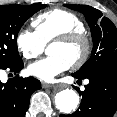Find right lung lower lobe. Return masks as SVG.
Here are the masks:
<instances>
[{"label":"right lung lower lobe","mask_w":117,"mask_h":117,"mask_svg":"<svg viewBox=\"0 0 117 117\" xmlns=\"http://www.w3.org/2000/svg\"><path fill=\"white\" fill-rule=\"evenodd\" d=\"M23 68V61L8 66H0L14 74ZM41 88L39 80L28 77L22 78L16 75L6 83L0 81V117H24L31 94Z\"/></svg>","instance_id":"obj_1"}]
</instances>
